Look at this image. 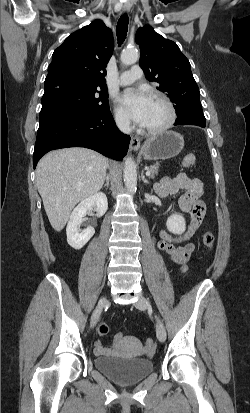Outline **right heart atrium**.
Masks as SVG:
<instances>
[{
    "mask_svg": "<svg viewBox=\"0 0 250 413\" xmlns=\"http://www.w3.org/2000/svg\"><path fill=\"white\" fill-rule=\"evenodd\" d=\"M114 120L117 127L123 131H128L131 128L128 116L120 108L114 109Z\"/></svg>",
    "mask_w": 250,
    "mask_h": 413,
    "instance_id": "1",
    "label": "right heart atrium"
}]
</instances>
